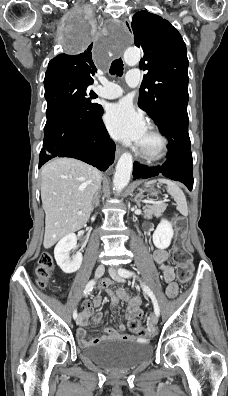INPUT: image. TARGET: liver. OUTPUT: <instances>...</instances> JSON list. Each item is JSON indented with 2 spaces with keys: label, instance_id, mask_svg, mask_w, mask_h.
Masks as SVG:
<instances>
[{
  "label": "liver",
  "instance_id": "liver-1",
  "mask_svg": "<svg viewBox=\"0 0 228 396\" xmlns=\"http://www.w3.org/2000/svg\"><path fill=\"white\" fill-rule=\"evenodd\" d=\"M41 177L45 211L43 245L48 249L86 225L93 197L101 186V173L80 160L56 158L43 166ZM79 211L82 215L77 214Z\"/></svg>",
  "mask_w": 228,
  "mask_h": 396
}]
</instances>
